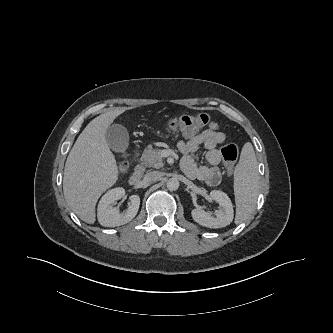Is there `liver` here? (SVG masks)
<instances>
[{
	"label": "liver",
	"mask_w": 333,
	"mask_h": 333,
	"mask_svg": "<svg viewBox=\"0 0 333 333\" xmlns=\"http://www.w3.org/2000/svg\"><path fill=\"white\" fill-rule=\"evenodd\" d=\"M125 110V107H117L90 121L78 136L65 163V200L88 224L95 223V206L101 194L118 180L116 159L105 136L108 127Z\"/></svg>",
	"instance_id": "liver-1"
}]
</instances>
